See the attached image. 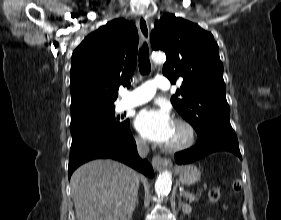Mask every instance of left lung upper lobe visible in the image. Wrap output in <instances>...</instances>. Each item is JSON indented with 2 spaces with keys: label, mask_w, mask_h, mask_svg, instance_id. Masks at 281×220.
<instances>
[{
  "label": "left lung upper lobe",
  "mask_w": 281,
  "mask_h": 220,
  "mask_svg": "<svg viewBox=\"0 0 281 220\" xmlns=\"http://www.w3.org/2000/svg\"><path fill=\"white\" fill-rule=\"evenodd\" d=\"M154 50L166 53L163 74L175 83L183 79L171 102L182 117L200 133L209 128H232L225 95L223 64L211 33L197 24L166 14L151 32Z\"/></svg>",
  "instance_id": "5c2ea615"
}]
</instances>
